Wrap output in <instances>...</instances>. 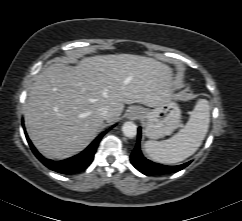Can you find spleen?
<instances>
[{"label":"spleen","instance_id":"3e777b00","mask_svg":"<svg viewBox=\"0 0 242 221\" xmlns=\"http://www.w3.org/2000/svg\"><path fill=\"white\" fill-rule=\"evenodd\" d=\"M210 105L200 99L186 125L173 137L163 141H146L144 148L148 156L162 164H175L192 156L201 146L209 128Z\"/></svg>","mask_w":242,"mask_h":221}]
</instances>
